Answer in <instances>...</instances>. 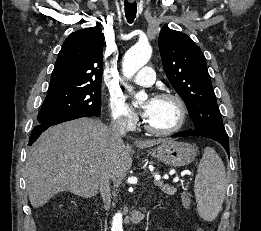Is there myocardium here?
<instances>
[{
  "label": "myocardium",
  "instance_id": "myocardium-1",
  "mask_svg": "<svg viewBox=\"0 0 261 231\" xmlns=\"http://www.w3.org/2000/svg\"><path fill=\"white\" fill-rule=\"evenodd\" d=\"M156 98L171 99L176 103L178 112H179L178 122L169 129L161 130V129H157V128H154L151 125H149L148 122L146 121V119L144 118L143 119L144 128L148 132L155 134V135H160V136H169V135L177 133L178 131H180L183 128V126L187 120V116H188V111H187V107H186L184 100L178 94H175L172 92H161V93L157 94Z\"/></svg>",
  "mask_w": 261,
  "mask_h": 231
}]
</instances>
